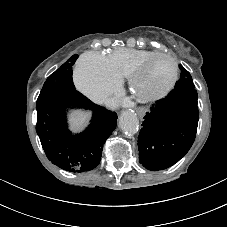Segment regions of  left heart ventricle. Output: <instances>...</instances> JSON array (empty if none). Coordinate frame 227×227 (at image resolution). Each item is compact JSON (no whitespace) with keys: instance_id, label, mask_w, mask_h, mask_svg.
Returning <instances> with one entry per match:
<instances>
[{"instance_id":"b2bd125f","label":"left heart ventricle","mask_w":227,"mask_h":227,"mask_svg":"<svg viewBox=\"0 0 227 227\" xmlns=\"http://www.w3.org/2000/svg\"><path fill=\"white\" fill-rule=\"evenodd\" d=\"M173 65L167 58H157L152 61L138 85V91L150 92L164 87L171 79Z\"/></svg>"}]
</instances>
